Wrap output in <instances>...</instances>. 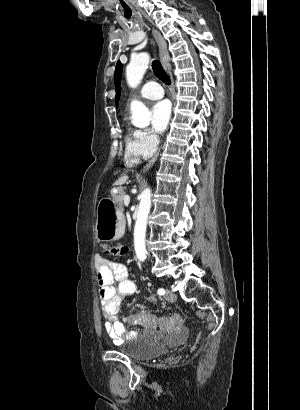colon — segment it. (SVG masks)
<instances>
[{"label": "colon", "mask_w": 300, "mask_h": 410, "mask_svg": "<svg viewBox=\"0 0 300 410\" xmlns=\"http://www.w3.org/2000/svg\"><path fill=\"white\" fill-rule=\"evenodd\" d=\"M127 251L124 245H114L107 249V254L111 257H121ZM165 322L169 325H176L182 322V317L177 312H167ZM129 323H143L146 326L152 327L156 324V319L146 311H140L128 319Z\"/></svg>", "instance_id": "5ec220e1"}]
</instances>
